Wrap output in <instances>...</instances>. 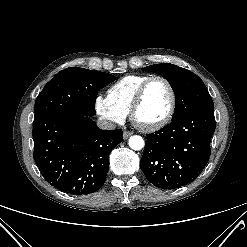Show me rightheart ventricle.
I'll use <instances>...</instances> for the list:
<instances>
[{"label":"right heart ventricle","mask_w":247,"mask_h":247,"mask_svg":"<svg viewBox=\"0 0 247 247\" xmlns=\"http://www.w3.org/2000/svg\"><path fill=\"white\" fill-rule=\"evenodd\" d=\"M149 77L147 74L124 76L108 89L107 96L115 106L128 114L137 90Z\"/></svg>","instance_id":"obj_1"}]
</instances>
